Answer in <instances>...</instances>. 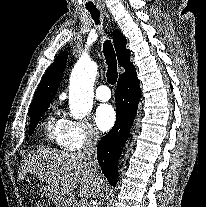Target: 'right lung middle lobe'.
<instances>
[{
    "label": "right lung middle lobe",
    "instance_id": "1",
    "mask_svg": "<svg viewBox=\"0 0 206 207\" xmlns=\"http://www.w3.org/2000/svg\"><path fill=\"white\" fill-rule=\"evenodd\" d=\"M48 107H49L48 104H44V105H41L39 107H36V108L30 110L31 123L29 126V134L33 133L40 117L44 114V112L47 110Z\"/></svg>",
    "mask_w": 206,
    "mask_h": 207
}]
</instances>
